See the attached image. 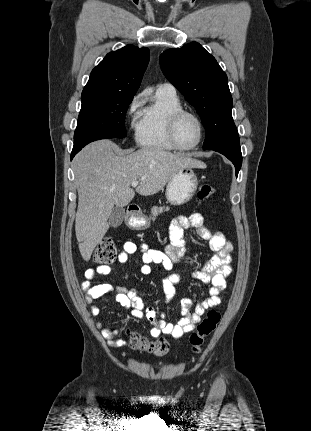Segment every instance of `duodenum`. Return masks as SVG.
Segmentation results:
<instances>
[{
    "label": "duodenum",
    "mask_w": 311,
    "mask_h": 431,
    "mask_svg": "<svg viewBox=\"0 0 311 431\" xmlns=\"http://www.w3.org/2000/svg\"><path fill=\"white\" fill-rule=\"evenodd\" d=\"M139 213H140L139 207L136 205H131L128 207L127 217L132 220V219H135L139 215Z\"/></svg>",
    "instance_id": "duodenum-1"
}]
</instances>
